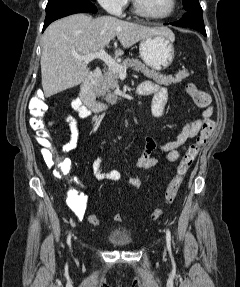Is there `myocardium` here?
Wrapping results in <instances>:
<instances>
[{
    "instance_id": "myocardium-1",
    "label": "myocardium",
    "mask_w": 240,
    "mask_h": 287,
    "mask_svg": "<svg viewBox=\"0 0 240 287\" xmlns=\"http://www.w3.org/2000/svg\"><path fill=\"white\" fill-rule=\"evenodd\" d=\"M132 3H133V8L135 12L138 15L145 17L147 19H150V20H155V21H162V20H166L172 17L175 14L176 9H177V0H171L170 9L165 14H162V15L152 14L146 9H144L140 3V0H132Z\"/></svg>"
}]
</instances>
